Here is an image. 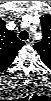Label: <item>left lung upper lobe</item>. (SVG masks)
Masks as SVG:
<instances>
[{
	"label": "left lung upper lobe",
	"instance_id": "1",
	"mask_svg": "<svg viewBox=\"0 0 51 101\" xmlns=\"http://www.w3.org/2000/svg\"><path fill=\"white\" fill-rule=\"evenodd\" d=\"M43 39L36 43L33 48L39 53L46 66L51 65V15L41 18Z\"/></svg>",
	"mask_w": 51,
	"mask_h": 101
}]
</instances>
